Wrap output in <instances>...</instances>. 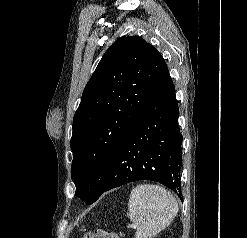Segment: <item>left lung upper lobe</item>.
Listing matches in <instances>:
<instances>
[{
  "label": "left lung upper lobe",
  "mask_w": 247,
  "mask_h": 238,
  "mask_svg": "<svg viewBox=\"0 0 247 238\" xmlns=\"http://www.w3.org/2000/svg\"><path fill=\"white\" fill-rule=\"evenodd\" d=\"M166 63L138 36H122L105 52L74 115L71 177L88 204L99 193L112 161L157 90Z\"/></svg>",
  "instance_id": "obj_1"
}]
</instances>
